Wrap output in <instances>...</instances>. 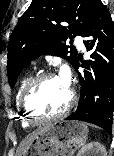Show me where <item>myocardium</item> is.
Instances as JSON below:
<instances>
[{
  "label": "myocardium",
  "instance_id": "1",
  "mask_svg": "<svg viewBox=\"0 0 114 156\" xmlns=\"http://www.w3.org/2000/svg\"><path fill=\"white\" fill-rule=\"evenodd\" d=\"M57 77V75L53 72H42L35 76H33L28 83L25 85L21 95H20V108L27 119L31 124H38L42 122L54 121L65 117L71 110L75 102V93L72 89H69V99L65 106V108L59 112L58 114L52 116H37L35 115L27 106V99L30 93L37 87L39 83L42 81Z\"/></svg>",
  "mask_w": 114,
  "mask_h": 156
}]
</instances>
